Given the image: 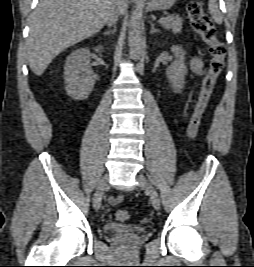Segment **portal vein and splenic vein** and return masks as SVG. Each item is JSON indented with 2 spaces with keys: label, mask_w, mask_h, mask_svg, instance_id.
I'll return each instance as SVG.
<instances>
[{
  "label": "portal vein and splenic vein",
  "mask_w": 254,
  "mask_h": 267,
  "mask_svg": "<svg viewBox=\"0 0 254 267\" xmlns=\"http://www.w3.org/2000/svg\"><path fill=\"white\" fill-rule=\"evenodd\" d=\"M170 18H171L170 16L161 17V18L158 20V22H159V23H164V22H166L167 20H169Z\"/></svg>",
  "instance_id": "portal-vein-and-splenic-vein-1"
}]
</instances>
